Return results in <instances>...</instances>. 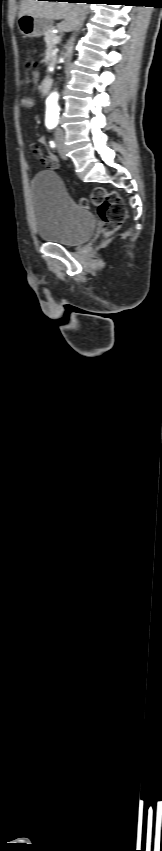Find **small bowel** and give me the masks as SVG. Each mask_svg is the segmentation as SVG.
Instances as JSON below:
<instances>
[{
    "mask_svg": "<svg viewBox=\"0 0 162 851\" xmlns=\"http://www.w3.org/2000/svg\"><path fill=\"white\" fill-rule=\"evenodd\" d=\"M35 106V102L31 98H24L21 100V107L24 109H31ZM46 144V139L44 137H40L38 139V143H32L30 146L31 152L33 155L47 168L55 169L58 167V159L54 154L46 155L42 146Z\"/></svg>",
    "mask_w": 162,
    "mask_h": 851,
    "instance_id": "c3829d8e",
    "label": "small bowel"
}]
</instances>
